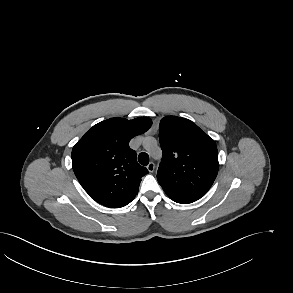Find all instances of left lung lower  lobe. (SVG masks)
<instances>
[{
	"mask_svg": "<svg viewBox=\"0 0 293 293\" xmlns=\"http://www.w3.org/2000/svg\"><path fill=\"white\" fill-rule=\"evenodd\" d=\"M172 200L177 202V203H181V204H188V203L194 202V201L188 200V199H172Z\"/></svg>",
	"mask_w": 293,
	"mask_h": 293,
	"instance_id": "0a47b994",
	"label": "left lung lower lobe"
}]
</instances>
